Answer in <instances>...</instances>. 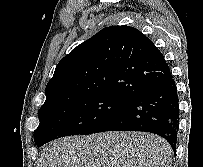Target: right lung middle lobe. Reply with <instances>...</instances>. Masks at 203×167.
Segmentation results:
<instances>
[{
  "instance_id": "dd1d6c3e",
  "label": "right lung middle lobe",
  "mask_w": 203,
  "mask_h": 167,
  "mask_svg": "<svg viewBox=\"0 0 203 167\" xmlns=\"http://www.w3.org/2000/svg\"><path fill=\"white\" fill-rule=\"evenodd\" d=\"M128 102L130 100L117 95L93 94L40 110L34 141L41 147L56 138L92 134Z\"/></svg>"
}]
</instances>
